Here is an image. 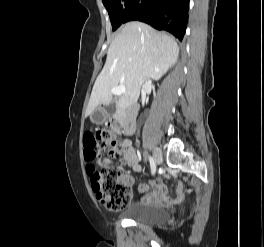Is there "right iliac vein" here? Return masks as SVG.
Returning <instances> with one entry per match:
<instances>
[{
    "label": "right iliac vein",
    "mask_w": 264,
    "mask_h": 247,
    "mask_svg": "<svg viewBox=\"0 0 264 247\" xmlns=\"http://www.w3.org/2000/svg\"><path fill=\"white\" fill-rule=\"evenodd\" d=\"M153 157L156 164H159L162 159V153L159 148H154L153 150Z\"/></svg>",
    "instance_id": "right-iliac-vein-1"
}]
</instances>
